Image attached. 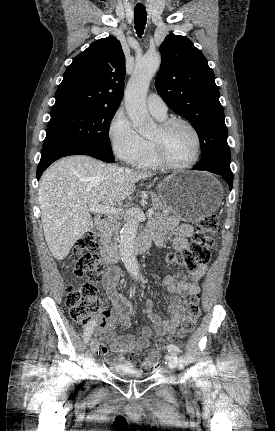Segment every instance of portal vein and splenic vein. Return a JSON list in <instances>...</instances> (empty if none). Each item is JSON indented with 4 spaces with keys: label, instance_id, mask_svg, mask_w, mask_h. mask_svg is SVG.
Wrapping results in <instances>:
<instances>
[{
    "label": "portal vein and splenic vein",
    "instance_id": "1",
    "mask_svg": "<svg viewBox=\"0 0 275 431\" xmlns=\"http://www.w3.org/2000/svg\"><path fill=\"white\" fill-rule=\"evenodd\" d=\"M88 210L90 212L102 213V214H119L121 212L120 208H114L107 205H100L98 202H93L89 205ZM149 216L154 214V209L148 210Z\"/></svg>",
    "mask_w": 275,
    "mask_h": 431
}]
</instances>
